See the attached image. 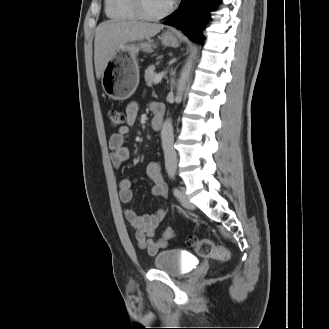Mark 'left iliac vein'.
<instances>
[{"instance_id":"left-iliac-vein-1","label":"left iliac vein","mask_w":329,"mask_h":329,"mask_svg":"<svg viewBox=\"0 0 329 329\" xmlns=\"http://www.w3.org/2000/svg\"><path fill=\"white\" fill-rule=\"evenodd\" d=\"M179 201L184 208H187V209L195 208V206L189 201V199L186 195V190L184 188L181 189V195L179 196Z\"/></svg>"}]
</instances>
